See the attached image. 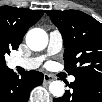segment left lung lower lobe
<instances>
[{
    "mask_svg": "<svg viewBox=\"0 0 102 102\" xmlns=\"http://www.w3.org/2000/svg\"><path fill=\"white\" fill-rule=\"evenodd\" d=\"M72 89L66 91L63 97L55 98V102H101L102 82L90 79H75L68 84Z\"/></svg>",
    "mask_w": 102,
    "mask_h": 102,
    "instance_id": "left-lung-lower-lobe-1",
    "label": "left lung lower lobe"
}]
</instances>
